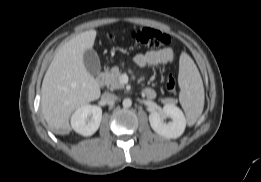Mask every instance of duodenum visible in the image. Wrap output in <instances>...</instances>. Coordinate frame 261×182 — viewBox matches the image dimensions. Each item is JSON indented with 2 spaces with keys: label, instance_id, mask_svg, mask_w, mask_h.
I'll return each instance as SVG.
<instances>
[{
  "label": "duodenum",
  "instance_id": "410a0bca",
  "mask_svg": "<svg viewBox=\"0 0 261 182\" xmlns=\"http://www.w3.org/2000/svg\"><path fill=\"white\" fill-rule=\"evenodd\" d=\"M103 82H104V79H103V76L102 75H99L98 77H97V84L99 85V86H102L103 85ZM143 93L145 94V95H150L151 94V91L149 90V89H145L144 91H143Z\"/></svg>",
  "mask_w": 261,
  "mask_h": 182
}]
</instances>
